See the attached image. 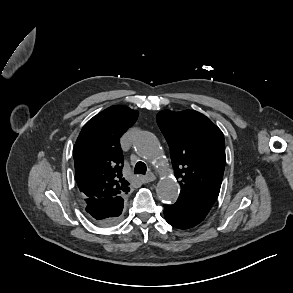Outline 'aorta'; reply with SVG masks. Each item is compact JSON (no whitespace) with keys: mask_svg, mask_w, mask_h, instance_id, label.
<instances>
[{"mask_svg":"<svg viewBox=\"0 0 293 293\" xmlns=\"http://www.w3.org/2000/svg\"><path fill=\"white\" fill-rule=\"evenodd\" d=\"M133 147L138 155L144 158L147 162L162 170L164 167L163 152L157 138L148 131L139 132L134 140ZM165 175L157 184V194L160 199L165 202L172 203L177 200L179 196V186L177 182Z\"/></svg>","mask_w":293,"mask_h":293,"instance_id":"aorta-1","label":"aorta"}]
</instances>
